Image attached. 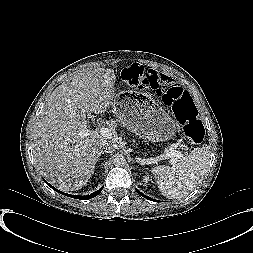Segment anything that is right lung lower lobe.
I'll return each instance as SVG.
<instances>
[{"label":"right lung lower lobe","instance_id":"1","mask_svg":"<svg viewBox=\"0 0 253 253\" xmlns=\"http://www.w3.org/2000/svg\"><path fill=\"white\" fill-rule=\"evenodd\" d=\"M45 182H46V181H45ZM46 183H47V182H46ZM47 184H48L52 189H54L55 191H57L58 193H61V194H63V195H66V196H69V197H72V198L82 199V200L91 199V198L97 196V195L101 192V190L103 189V187H101L99 190H97V191L91 193L90 195H86V196H76V195H70V194L63 193V192L57 190L56 188L52 187L49 183H47Z\"/></svg>","mask_w":253,"mask_h":253}]
</instances>
